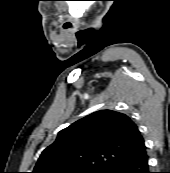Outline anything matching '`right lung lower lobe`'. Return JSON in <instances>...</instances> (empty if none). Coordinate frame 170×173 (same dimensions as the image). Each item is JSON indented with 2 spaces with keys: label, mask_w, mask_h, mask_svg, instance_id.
Listing matches in <instances>:
<instances>
[{
  "label": "right lung lower lobe",
  "mask_w": 170,
  "mask_h": 173,
  "mask_svg": "<svg viewBox=\"0 0 170 173\" xmlns=\"http://www.w3.org/2000/svg\"><path fill=\"white\" fill-rule=\"evenodd\" d=\"M103 173H150L145 145L106 168Z\"/></svg>",
  "instance_id": "1"
}]
</instances>
